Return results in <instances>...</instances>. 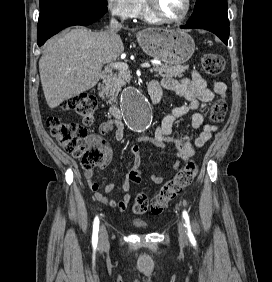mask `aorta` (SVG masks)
<instances>
[{
    "mask_svg": "<svg viewBox=\"0 0 272 282\" xmlns=\"http://www.w3.org/2000/svg\"><path fill=\"white\" fill-rule=\"evenodd\" d=\"M122 109L127 124L136 131H146L152 121V109L147 98L135 87L125 91Z\"/></svg>",
    "mask_w": 272,
    "mask_h": 282,
    "instance_id": "aorta-1",
    "label": "aorta"
}]
</instances>
